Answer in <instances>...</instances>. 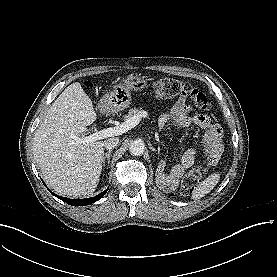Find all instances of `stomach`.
<instances>
[{
  "mask_svg": "<svg viewBox=\"0 0 277 277\" xmlns=\"http://www.w3.org/2000/svg\"><path fill=\"white\" fill-rule=\"evenodd\" d=\"M147 87L148 82L145 77L130 74L104 96L105 108L115 113L122 111L131 104V91H141Z\"/></svg>",
  "mask_w": 277,
  "mask_h": 277,
  "instance_id": "obj_1",
  "label": "stomach"
}]
</instances>
